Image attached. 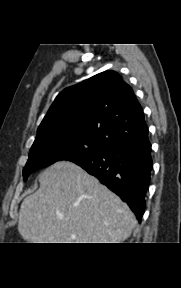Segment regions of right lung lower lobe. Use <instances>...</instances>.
Wrapping results in <instances>:
<instances>
[{
	"label": "right lung lower lobe",
	"mask_w": 181,
	"mask_h": 288,
	"mask_svg": "<svg viewBox=\"0 0 181 288\" xmlns=\"http://www.w3.org/2000/svg\"><path fill=\"white\" fill-rule=\"evenodd\" d=\"M71 162L97 177L115 192L141 221L153 165L148 139L141 143L115 145L97 154L75 158Z\"/></svg>",
	"instance_id": "98d812e1"
}]
</instances>
